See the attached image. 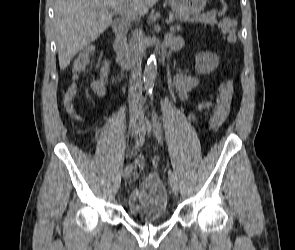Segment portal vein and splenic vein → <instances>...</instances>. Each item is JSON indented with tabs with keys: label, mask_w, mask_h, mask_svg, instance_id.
I'll list each match as a JSON object with an SVG mask.
<instances>
[{
	"label": "portal vein and splenic vein",
	"mask_w": 295,
	"mask_h": 250,
	"mask_svg": "<svg viewBox=\"0 0 295 250\" xmlns=\"http://www.w3.org/2000/svg\"><path fill=\"white\" fill-rule=\"evenodd\" d=\"M111 9L113 10V12H115L117 14H121V15L127 14V15H129L130 17H133V18L140 15V14H138L136 9H134L132 7H131V9H129L126 6V4H123V5H120V6H117V7H112ZM173 19L174 18L172 16H169L166 19V23L169 24V23L173 22Z\"/></svg>",
	"instance_id": "portal-vein-and-splenic-vein-1"
}]
</instances>
